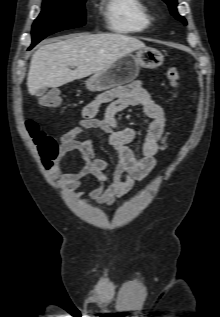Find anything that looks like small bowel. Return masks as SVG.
<instances>
[{
  "label": "small bowel",
  "instance_id": "c3829d8e",
  "mask_svg": "<svg viewBox=\"0 0 220 317\" xmlns=\"http://www.w3.org/2000/svg\"><path fill=\"white\" fill-rule=\"evenodd\" d=\"M102 105H107L104 116L98 118ZM130 106H141L146 115L143 140L137 151L130 146L138 135L137 130L120 129L117 121V114ZM165 121L163 108L141 81L101 92L84 107L81 120L61 134L58 157L48 170L75 197L87 196L97 204L110 205L143 181L155 168L156 156L167 148L169 132ZM94 130H100L113 148L115 156L112 160L95 156L91 138L79 139L84 133ZM71 151H78L85 164L77 172L64 173L59 160ZM112 165L115 166L114 170L106 174ZM84 182L94 183L95 188L90 192L78 191Z\"/></svg>",
  "mask_w": 220,
  "mask_h": 317
}]
</instances>
